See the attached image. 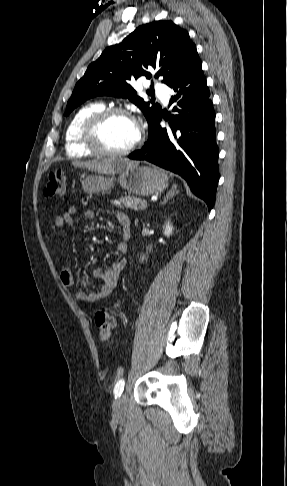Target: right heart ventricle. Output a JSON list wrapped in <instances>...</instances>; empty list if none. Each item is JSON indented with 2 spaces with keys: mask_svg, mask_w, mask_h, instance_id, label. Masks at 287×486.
I'll return each mask as SVG.
<instances>
[{
  "mask_svg": "<svg viewBox=\"0 0 287 486\" xmlns=\"http://www.w3.org/2000/svg\"><path fill=\"white\" fill-rule=\"evenodd\" d=\"M101 102H92L82 106L71 118L65 132V150L73 158L89 157L92 153L82 144L81 129L88 117L104 109Z\"/></svg>",
  "mask_w": 287,
  "mask_h": 486,
  "instance_id": "1",
  "label": "right heart ventricle"
}]
</instances>
